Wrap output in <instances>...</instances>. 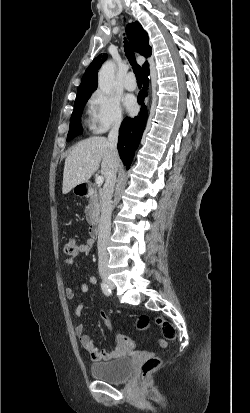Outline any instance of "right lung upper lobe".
I'll list each match as a JSON object with an SVG mask.
<instances>
[{
  "label": "right lung upper lobe",
  "instance_id": "cb5924a9",
  "mask_svg": "<svg viewBox=\"0 0 250 413\" xmlns=\"http://www.w3.org/2000/svg\"><path fill=\"white\" fill-rule=\"evenodd\" d=\"M128 37L136 52L143 56L151 55V47L148 43L147 32L142 28L139 22L128 24L126 27ZM107 59V54L99 55L87 68L78 88L77 96L92 93L97 88V71L101 64ZM143 71L149 70V64L145 62L142 66ZM76 96V97H77Z\"/></svg>",
  "mask_w": 250,
  "mask_h": 413
}]
</instances>
